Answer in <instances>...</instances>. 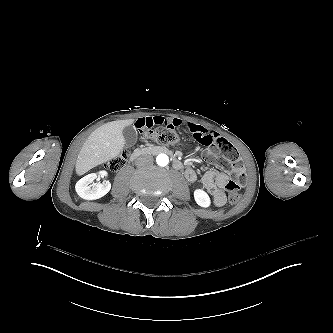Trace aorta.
Masks as SVG:
<instances>
[{"instance_id":"aorta-1","label":"aorta","mask_w":333,"mask_h":333,"mask_svg":"<svg viewBox=\"0 0 333 333\" xmlns=\"http://www.w3.org/2000/svg\"><path fill=\"white\" fill-rule=\"evenodd\" d=\"M156 162L159 166H166L168 163H169V158L166 154H159L157 157H156Z\"/></svg>"}]
</instances>
